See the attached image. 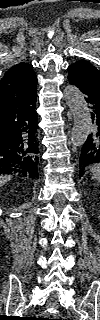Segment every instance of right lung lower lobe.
<instances>
[{"label": "right lung lower lobe", "instance_id": "1", "mask_svg": "<svg viewBox=\"0 0 100 320\" xmlns=\"http://www.w3.org/2000/svg\"><path fill=\"white\" fill-rule=\"evenodd\" d=\"M36 97L0 103V174L39 177Z\"/></svg>", "mask_w": 100, "mask_h": 320}]
</instances>
